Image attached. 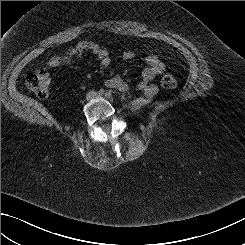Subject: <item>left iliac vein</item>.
<instances>
[{"instance_id":"4c4485c4","label":"left iliac vein","mask_w":245,"mask_h":245,"mask_svg":"<svg viewBox=\"0 0 245 245\" xmlns=\"http://www.w3.org/2000/svg\"><path fill=\"white\" fill-rule=\"evenodd\" d=\"M98 97H99V98H101V97H102V95H98Z\"/></svg>"}]
</instances>
